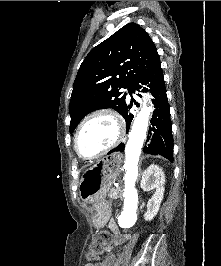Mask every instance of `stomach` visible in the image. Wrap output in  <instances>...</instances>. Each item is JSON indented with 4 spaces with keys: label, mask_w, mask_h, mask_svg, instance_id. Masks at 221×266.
<instances>
[{
    "label": "stomach",
    "mask_w": 221,
    "mask_h": 266,
    "mask_svg": "<svg viewBox=\"0 0 221 266\" xmlns=\"http://www.w3.org/2000/svg\"><path fill=\"white\" fill-rule=\"evenodd\" d=\"M120 164L121 155H107L88 168L81 177L79 195L85 204H90L95 209V225L106 219L107 206L103 200L116 179Z\"/></svg>",
    "instance_id": "1"
}]
</instances>
